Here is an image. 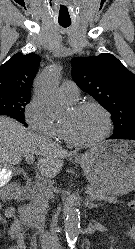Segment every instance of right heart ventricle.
Here are the masks:
<instances>
[{"mask_svg": "<svg viewBox=\"0 0 135 249\" xmlns=\"http://www.w3.org/2000/svg\"><path fill=\"white\" fill-rule=\"evenodd\" d=\"M57 136L59 138L66 139L65 130H64L63 125H61V124H59V125L57 124Z\"/></svg>", "mask_w": 135, "mask_h": 249, "instance_id": "1", "label": "right heart ventricle"}]
</instances>
